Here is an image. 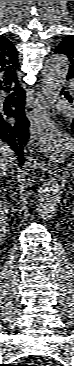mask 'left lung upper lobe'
I'll return each instance as SVG.
<instances>
[{"instance_id": "1", "label": "left lung upper lobe", "mask_w": 74, "mask_h": 366, "mask_svg": "<svg viewBox=\"0 0 74 366\" xmlns=\"http://www.w3.org/2000/svg\"><path fill=\"white\" fill-rule=\"evenodd\" d=\"M55 53L66 55L70 60V68L68 74L74 76V35L66 36L56 47Z\"/></svg>"}]
</instances>
